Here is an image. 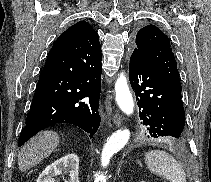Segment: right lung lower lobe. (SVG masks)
<instances>
[{
    "instance_id": "right-lung-lower-lobe-1",
    "label": "right lung lower lobe",
    "mask_w": 211,
    "mask_h": 182,
    "mask_svg": "<svg viewBox=\"0 0 211 182\" xmlns=\"http://www.w3.org/2000/svg\"><path fill=\"white\" fill-rule=\"evenodd\" d=\"M101 46L95 31L78 42L50 50L39 78L18 146L57 123L74 124L90 133L100 125Z\"/></svg>"
}]
</instances>
